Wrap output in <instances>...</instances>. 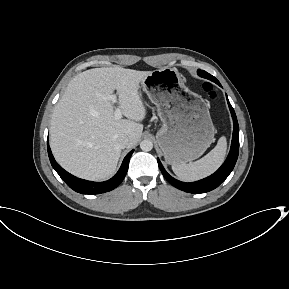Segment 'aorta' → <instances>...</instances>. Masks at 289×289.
<instances>
[{
    "instance_id": "762f6f07",
    "label": "aorta",
    "mask_w": 289,
    "mask_h": 289,
    "mask_svg": "<svg viewBox=\"0 0 289 289\" xmlns=\"http://www.w3.org/2000/svg\"><path fill=\"white\" fill-rule=\"evenodd\" d=\"M140 148L141 150L146 151V152L151 151L153 148V143L150 140H143L140 143Z\"/></svg>"
}]
</instances>
